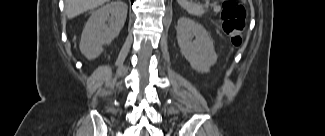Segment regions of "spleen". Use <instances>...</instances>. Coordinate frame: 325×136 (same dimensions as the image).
<instances>
[{"instance_id":"3e777b00","label":"spleen","mask_w":325,"mask_h":136,"mask_svg":"<svg viewBox=\"0 0 325 136\" xmlns=\"http://www.w3.org/2000/svg\"><path fill=\"white\" fill-rule=\"evenodd\" d=\"M178 2L190 15L201 16L205 13V10L201 5H198L191 0H179Z\"/></svg>"}]
</instances>
